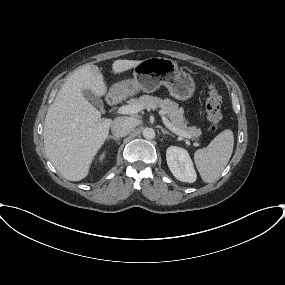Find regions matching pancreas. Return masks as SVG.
Returning <instances> with one entry per match:
<instances>
[{"label": "pancreas", "instance_id": "cf45deb5", "mask_svg": "<svg viewBox=\"0 0 285 285\" xmlns=\"http://www.w3.org/2000/svg\"><path fill=\"white\" fill-rule=\"evenodd\" d=\"M131 103L140 104L143 109L147 110L161 108L176 128L184 131L190 136L189 139L194 140L201 135L200 129H197L195 126H187L183 108L179 107V105L171 99H161L152 95H143L138 99H132Z\"/></svg>", "mask_w": 285, "mask_h": 285}]
</instances>
